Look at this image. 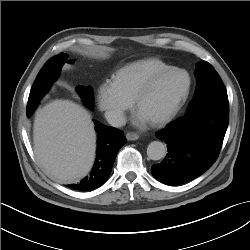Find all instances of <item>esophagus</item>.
I'll use <instances>...</instances> for the list:
<instances>
[{"mask_svg":"<svg viewBox=\"0 0 250 250\" xmlns=\"http://www.w3.org/2000/svg\"><path fill=\"white\" fill-rule=\"evenodd\" d=\"M126 139L129 141H135V140L139 139V135L137 133H134V132H128L126 134Z\"/></svg>","mask_w":250,"mask_h":250,"instance_id":"esophagus-1","label":"esophagus"}]
</instances>
